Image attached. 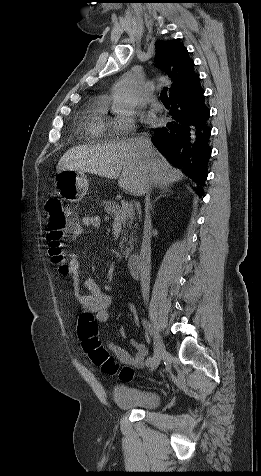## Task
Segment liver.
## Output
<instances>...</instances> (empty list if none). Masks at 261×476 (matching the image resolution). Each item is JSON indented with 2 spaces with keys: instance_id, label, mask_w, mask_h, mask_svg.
<instances>
[{
  "instance_id": "1",
  "label": "liver",
  "mask_w": 261,
  "mask_h": 476,
  "mask_svg": "<svg viewBox=\"0 0 261 476\" xmlns=\"http://www.w3.org/2000/svg\"><path fill=\"white\" fill-rule=\"evenodd\" d=\"M56 169L118 179V185L134 196L143 194L146 176H150L156 187L172 185L185 177L152 145L148 155H140L131 140L71 148L61 157Z\"/></svg>"
}]
</instances>
